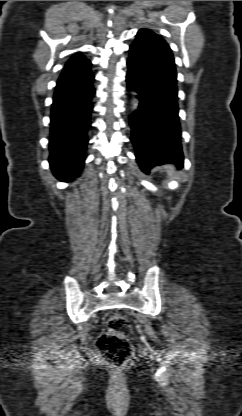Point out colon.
<instances>
[{
	"instance_id": "obj_1",
	"label": "colon",
	"mask_w": 242,
	"mask_h": 416,
	"mask_svg": "<svg viewBox=\"0 0 242 416\" xmlns=\"http://www.w3.org/2000/svg\"><path fill=\"white\" fill-rule=\"evenodd\" d=\"M131 331L125 316L115 314L109 318L107 331L98 337L96 347L111 365L121 366L132 356L133 347L128 339Z\"/></svg>"
}]
</instances>
